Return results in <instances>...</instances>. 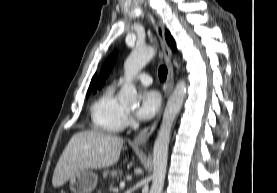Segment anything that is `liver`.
Instances as JSON below:
<instances>
[{
  "label": "liver",
  "mask_w": 277,
  "mask_h": 193,
  "mask_svg": "<svg viewBox=\"0 0 277 193\" xmlns=\"http://www.w3.org/2000/svg\"><path fill=\"white\" fill-rule=\"evenodd\" d=\"M123 139L101 131L76 133L62 152L55 167L52 184L62 186L76 174L101 169L117 163Z\"/></svg>",
  "instance_id": "1"
}]
</instances>
